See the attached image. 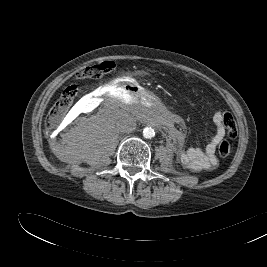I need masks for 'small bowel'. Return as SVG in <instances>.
Segmentation results:
<instances>
[{
  "mask_svg": "<svg viewBox=\"0 0 267 267\" xmlns=\"http://www.w3.org/2000/svg\"><path fill=\"white\" fill-rule=\"evenodd\" d=\"M225 113L216 111L213 114L215 131L204 148H182L177 152L179 161L187 168L194 171L210 170L217 166L218 160L215 152L220 141L228 134L224 124ZM171 135L181 140L180 133L170 124Z\"/></svg>",
  "mask_w": 267,
  "mask_h": 267,
  "instance_id": "small-bowel-1",
  "label": "small bowel"
}]
</instances>
